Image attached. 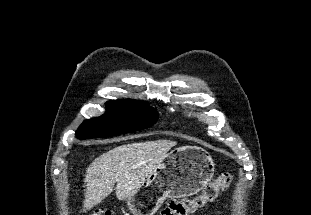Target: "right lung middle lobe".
<instances>
[{"instance_id": "1", "label": "right lung middle lobe", "mask_w": 311, "mask_h": 215, "mask_svg": "<svg viewBox=\"0 0 311 215\" xmlns=\"http://www.w3.org/2000/svg\"><path fill=\"white\" fill-rule=\"evenodd\" d=\"M104 115L85 120L76 132L79 139L105 138L146 129L156 123L157 110L146 103L109 101Z\"/></svg>"}]
</instances>
